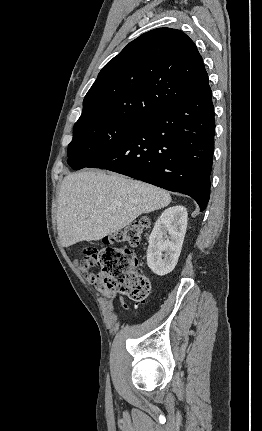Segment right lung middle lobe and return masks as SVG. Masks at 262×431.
Listing matches in <instances>:
<instances>
[{
  "label": "right lung middle lobe",
  "instance_id": "obj_1",
  "mask_svg": "<svg viewBox=\"0 0 262 431\" xmlns=\"http://www.w3.org/2000/svg\"><path fill=\"white\" fill-rule=\"evenodd\" d=\"M140 121L121 119L75 124L67 163L75 170L89 166L123 141Z\"/></svg>",
  "mask_w": 262,
  "mask_h": 431
}]
</instances>
